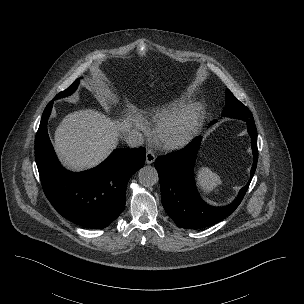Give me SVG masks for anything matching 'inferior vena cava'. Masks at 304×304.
<instances>
[{"mask_svg":"<svg viewBox=\"0 0 304 304\" xmlns=\"http://www.w3.org/2000/svg\"><path fill=\"white\" fill-rule=\"evenodd\" d=\"M125 139L126 143L133 148L141 146L144 142L143 135L136 130L128 131Z\"/></svg>","mask_w":304,"mask_h":304,"instance_id":"1","label":"inferior vena cava"}]
</instances>
